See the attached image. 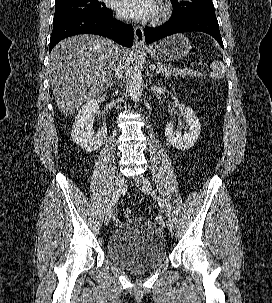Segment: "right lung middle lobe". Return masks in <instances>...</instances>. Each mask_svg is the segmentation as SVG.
Here are the masks:
<instances>
[{"label": "right lung middle lobe", "instance_id": "dd1d6c3e", "mask_svg": "<svg viewBox=\"0 0 272 303\" xmlns=\"http://www.w3.org/2000/svg\"><path fill=\"white\" fill-rule=\"evenodd\" d=\"M100 0H62L55 2V14L53 22L61 21L69 17L81 14H100L111 13Z\"/></svg>", "mask_w": 272, "mask_h": 303}]
</instances>
